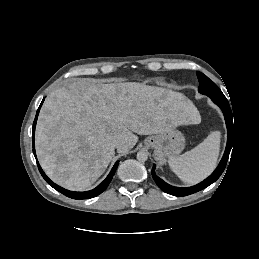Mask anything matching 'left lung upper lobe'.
<instances>
[{"label":"left lung upper lobe","mask_w":259,"mask_h":259,"mask_svg":"<svg viewBox=\"0 0 259 259\" xmlns=\"http://www.w3.org/2000/svg\"><path fill=\"white\" fill-rule=\"evenodd\" d=\"M197 76L199 79V88L198 91L201 94H205L207 96H224L222 91L218 88V86L211 81L207 76H205L201 72H197Z\"/></svg>","instance_id":"left-lung-upper-lobe-1"}]
</instances>
